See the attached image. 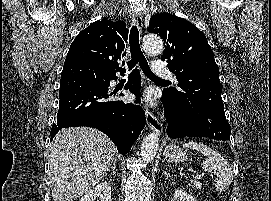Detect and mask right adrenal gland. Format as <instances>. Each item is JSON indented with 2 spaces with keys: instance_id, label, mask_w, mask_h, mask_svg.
<instances>
[{
  "instance_id": "obj_1",
  "label": "right adrenal gland",
  "mask_w": 271,
  "mask_h": 201,
  "mask_svg": "<svg viewBox=\"0 0 271 201\" xmlns=\"http://www.w3.org/2000/svg\"><path fill=\"white\" fill-rule=\"evenodd\" d=\"M116 161H117V160H115V161L112 163V166L108 169L109 172L112 171L113 173H115Z\"/></svg>"
}]
</instances>
